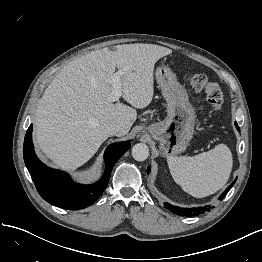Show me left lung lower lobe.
<instances>
[{"instance_id": "1", "label": "left lung lower lobe", "mask_w": 262, "mask_h": 262, "mask_svg": "<svg viewBox=\"0 0 262 262\" xmlns=\"http://www.w3.org/2000/svg\"><path fill=\"white\" fill-rule=\"evenodd\" d=\"M235 126L237 128L238 131H240V128L238 126L237 123H235ZM150 172V167H148L147 169V173ZM236 182V180L227 187V189L221 194V196L219 197V199H223L224 196H226V194L228 193V191L232 188L233 184ZM165 207L170 210L172 213L179 215V216H197L199 214L204 213L205 211H207V206L205 207H198V208H181V207H176L173 206L167 202L164 203Z\"/></svg>"}]
</instances>
